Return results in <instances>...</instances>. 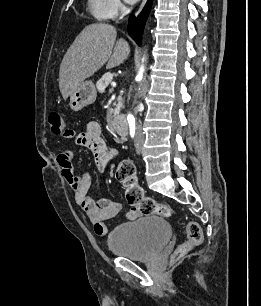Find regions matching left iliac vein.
<instances>
[{
  "mask_svg": "<svg viewBox=\"0 0 261 306\" xmlns=\"http://www.w3.org/2000/svg\"><path fill=\"white\" fill-rule=\"evenodd\" d=\"M135 147H136V153L140 154L142 150V139H140L139 137H137L135 140Z\"/></svg>",
  "mask_w": 261,
  "mask_h": 306,
  "instance_id": "left-iliac-vein-1",
  "label": "left iliac vein"
}]
</instances>
